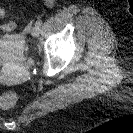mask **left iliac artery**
I'll return each instance as SVG.
<instances>
[{
    "label": "left iliac artery",
    "mask_w": 133,
    "mask_h": 133,
    "mask_svg": "<svg viewBox=\"0 0 133 133\" xmlns=\"http://www.w3.org/2000/svg\"><path fill=\"white\" fill-rule=\"evenodd\" d=\"M41 25H42V21L41 20L36 21V25L35 26L41 27Z\"/></svg>",
    "instance_id": "obj_1"
}]
</instances>
